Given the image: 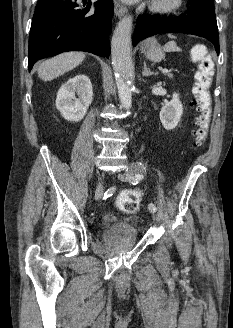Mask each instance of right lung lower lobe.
<instances>
[{
	"instance_id": "1",
	"label": "right lung lower lobe",
	"mask_w": 233,
	"mask_h": 328,
	"mask_svg": "<svg viewBox=\"0 0 233 328\" xmlns=\"http://www.w3.org/2000/svg\"><path fill=\"white\" fill-rule=\"evenodd\" d=\"M113 2L38 0L29 36L28 69L39 59L65 51L110 55Z\"/></svg>"
}]
</instances>
